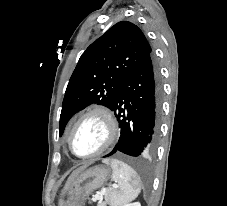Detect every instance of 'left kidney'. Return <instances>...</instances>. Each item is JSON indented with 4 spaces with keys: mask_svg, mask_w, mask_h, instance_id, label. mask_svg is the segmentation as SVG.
<instances>
[{
    "mask_svg": "<svg viewBox=\"0 0 227 206\" xmlns=\"http://www.w3.org/2000/svg\"><path fill=\"white\" fill-rule=\"evenodd\" d=\"M124 206H141V204L139 202H135V203L125 204Z\"/></svg>",
    "mask_w": 227,
    "mask_h": 206,
    "instance_id": "5707ae66",
    "label": "left kidney"
}]
</instances>
